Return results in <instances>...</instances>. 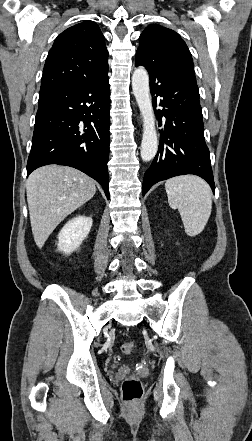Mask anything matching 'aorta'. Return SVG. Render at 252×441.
<instances>
[{"mask_svg":"<svg viewBox=\"0 0 252 441\" xmlns=\"http://www.w3.org/2000/svg\"><path fill=\"white\" fill-rule=\"evenodd\" d=\"M132 89L143 117V136L140 154L142 160L147 162L152 160L157 153L158 137L150 96L149 76L143 67H139L133 72Z\"/></svg>","mask_w":252,"mask_h":441,"instance_id":"aorta-1","label":"aorta"}]
</instances>
